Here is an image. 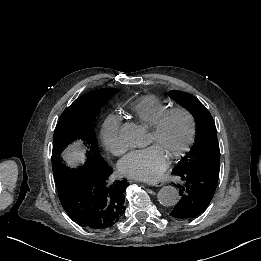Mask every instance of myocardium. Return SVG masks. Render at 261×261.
<instances>
[{
  "instance_id": "1",
  "label": "myocardium",
  "mask_w": 261,
  "mask_h": 261,
  "mask_svg": "<svg viewBox=\"0 0 261 261\" xmlns=\"http://www.w3.org/2000/svg\"><path fill=\"white\" fill-rule=\"evenodd\" d=\"M175 114L183 115L187 119L189 124V131L183 144L169 155L168 159L171 162L183 157L195 143L198 130V124L195 115L189 109L182 106L169 107L164 112H162L152 124L148 125L151 131L154 134H157L162 130L167 120Z\"/></svg>"
}]
</instances>
